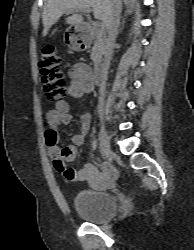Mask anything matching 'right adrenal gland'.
<instances>
[{"label":"right adrenal gland","mask_w":194,"mask_h":250,"mask_svg":"<svg viewBox=\"0 0 194 250\" xmlns=\"http://www.w3.org/2000/svg\"><path fill=\"white\" fill-rule=\"evenodd\" d=\"M124 23H125V21H124V19H123L122 24H124Z\"/></svg>","instance_id":"obj_1"}]
</instances>
